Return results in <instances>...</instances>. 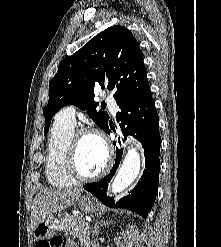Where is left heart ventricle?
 I'll use <instances>...</instances> for the list:
<instances>
[{"label":"left heart ventricle","mask_w":221,"mask_h":247,"mask_svg":"<svg viewBox=\"0 0 221 247\" xmlns=\"http://www.w3.org/2000/svg\"><path fill=\"white\" fill-rule=\"evenodd\" d=\"M77 160L80 171L85 175L98 173L106 162V151L102 142L95 136L81 137Z\"/></svg>","instance_id":"b2bd125f"}]
</instances>
